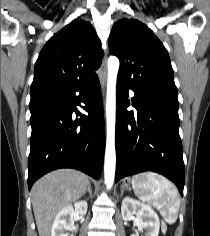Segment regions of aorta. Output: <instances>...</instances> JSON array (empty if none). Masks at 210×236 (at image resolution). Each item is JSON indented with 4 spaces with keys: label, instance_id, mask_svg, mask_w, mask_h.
<instances>
[{
    "label": "aorta",
    "instance_id": "762f6f07",
    "mask_svg": "<svg viewBox=\"0 0 210 236\" xmlns=\"http://www.w3.org/2000/svg\"><path fill=\"white\" fill-rule=\"evenodd\" d=\"M119 59L110 56L108 59L106 120L107 138L104 163V178L107 188H111L115 178L116 151H115V120H116V80L119 70Z\"/></svg>",
    "mask_w": 210,
    "mask_h": 236
}]
</instances>
